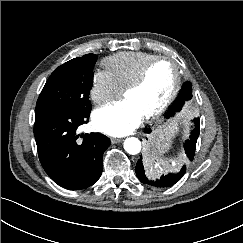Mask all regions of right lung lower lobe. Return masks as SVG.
Wrapping results in <instances>:
<instances>
[{
  "label": "right lung lower lobe",
  "instance_id": "1",
  "mask_svg": "<svg viewBox=\"0 0 243 243\" xmlns=\"http://www.w3.org/2000/svg\"><path fill=\"white\" fill-rule=\"evenodd\" d=\"M90 111L38 107L35 109L34 135L42 167L58 185L84 189L93 185L103 170L102 156L110 145L99 133L81 135L77 128L89 121Z\"/></svg>",
  "mask_w": 243,
  "mask_h": 243
}]
</instances>
